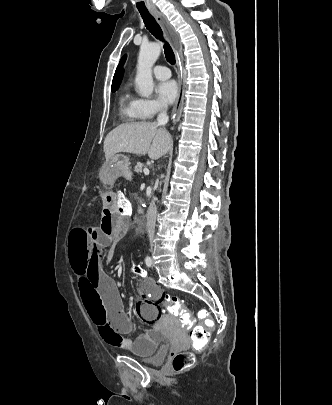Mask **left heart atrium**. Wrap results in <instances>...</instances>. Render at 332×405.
Masks as SVG:
<instances>
[{"label":"left heart atrium","mask_w":332,"mask_h":405,"mask_svg":"<svg viewBox=\"0 0 332 405\" xmlns=\"http://www.w3.org/2000/svg\"><path fill=\"white\" fill-rule=\"evenodd\" d=\"M158 97L165 104H172L178 97L179 88L175 81H163L156 87Z\"/></svg>","instance_id":"left-heart-atrium-1"}]
</instances>
